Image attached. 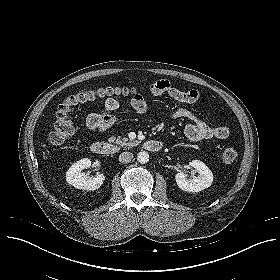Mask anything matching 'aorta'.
I'll list each match as a JSON object with an SVG mask.
<instances>
[{
  "label": "aorta",
  "instance_id": "aorta-1",
  "mask_svg": "<svg viewBox=\"0 0 280 280\" xmlns=\"http://www.w3.org/2000/svg\"><path fill=\"white\" fill-rule=\"evenodd\" d=\"M137 161L141 164H145L149 161V154L146 151H141L137 154Z\"/></svg>",
  "mask_w": 280,
  "mask_h": 280
}]
</instances>
